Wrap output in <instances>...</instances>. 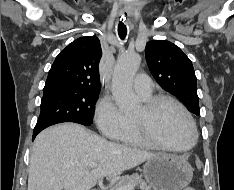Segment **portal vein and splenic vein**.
Returning a JSON list of instances; mask_svg holds the SVG:
<instances>
[{"label": "portal vein and splenic vein", "mask_w": 234, "mask_h": 190, "mask_svg": "<svg viewBox=\"0 0 234 190\" xmlns=\"http://www.w3.org/2000/svg\"><path fill=\"white\" fill-rule=\"evenodd\" d=\"M98 166L97 163L89 164L90 169H94ZM111 190H134V186H125V187H112Z\"/></svg>", "instance_id": "portal-vein-and-splenic-vein-1"}]
</instances>
